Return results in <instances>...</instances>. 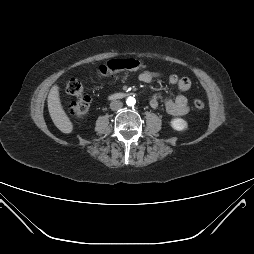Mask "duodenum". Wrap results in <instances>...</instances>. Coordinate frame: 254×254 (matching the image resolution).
Segmentation results:
<instances>
[{
  "instance_id": "410a0bca",
  "label": "duodenum",
  "mask_w": 254,
  "mask_h": 254,
  "mask_svg": "<svg viewBox=\"0 0 254 254\" xmlns=\"http://www.w3.org/2000/svg\"><path fill=\"white\" fill-rule=\"evenodd\" d=\"M125 96H126L125 93L119 92V93L113 94L111 97H112L113 99H119V98H123V97H125Z\"/></svg>"
}]
</instances>
